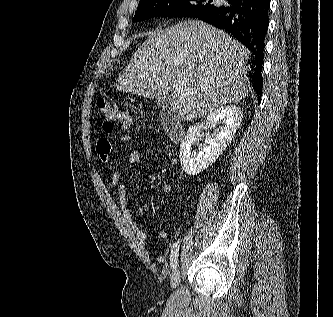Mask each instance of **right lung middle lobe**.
Returning <instances> with one entry per match:
<instances>
[{"instance_id": "obj_1", "label": "right lung middle lobe", "mask_w": 333, "mask_h": 317, "mask_svg": "<svg viewBox=\"0 0 333 317\" xmlns=\"http://www.w3.org/2000/svg\"><path fill=\"white\" fill-rule=\"evenodd\" d=\"M214 7L212 0H140L133 21L156 16L194 17Z\"/></svg>"}]
</instances>
